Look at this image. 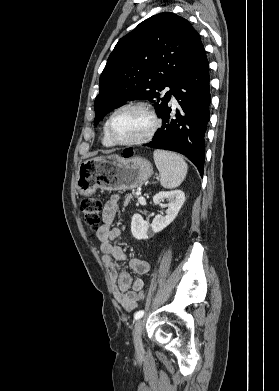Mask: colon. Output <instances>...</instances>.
I'll use <instances>...</instances> for the list:
<instances>
[{
	"label": "colon",
	"instance_id": "5ec220e1",
	"mask_svg": "<svg viewBox=\"0 0 279 391\" xmlns=\"http://www.w3.org/2000/svg\"><path fill=\"white\" fill-rule=\"evenodd\" d=\"M81 212L88 229L92 233H97L102 219L103 204L96 198H86L81 202ZM145 296L143 290L138 293V301H142Z\"/></svg>",
	"mask_w": 279,
	"mask_h": 391
}]
</instances>
